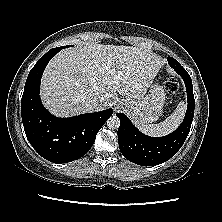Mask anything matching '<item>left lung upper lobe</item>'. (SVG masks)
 <instances>
[{"mask_svg": "<svg viewBox=\"0 0 222 222\" xmlns=\"http://www.w3.org/2000/svg\"><path fill=\"white\" fill-rule=\"evenodd\" d=\"M167 60H168V62H170V60H175V59L172 57H168Z\"/></svg>", "mask_w": 222, "mask_h": 222, "instance_id": "1", "label": "left lung upper lobe"}]
</instances>
